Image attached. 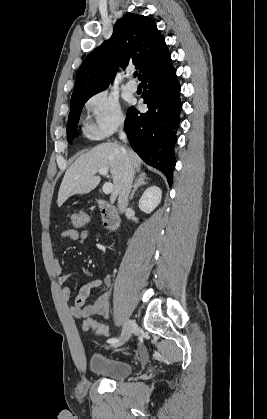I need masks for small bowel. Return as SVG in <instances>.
Segmentation results:
<instances>
[{
  "label": "small bowel",
  "instance_id": "c3829d8e",
  "mask_svg": "<svg viewBox=\"0 0 267 419\" xmlns=\"http://www.w3.org/2000/svg\"><path fill=\"white\" fill-rule=\"evenodd\" d=\"M91 236L90 231H81L74 229H66L60 233V238H70L73 241H84ZM54 273L57 277L59 284L61 285L62 297L69 301L72 294V289L66 284L71 276L75 273H63L62 268L58 261L54 262ZM112 284V278L110 275H105L102 278H96L90 282L84 284L73 302L70 305V313L76 319L88 318L94 315L107 318L110 315V286ZM94 288H101V293L91 303L85 304L88 299L90 292Z\"/></svg>",
  "mask_w": 267,
  "mask_h": 419
}]
</instances>
